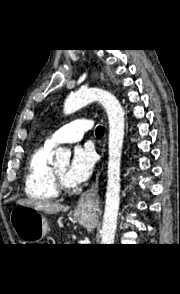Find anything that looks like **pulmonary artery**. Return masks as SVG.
<instances>
[{"label": "pulmonary artery", "instance_id": "1", "mask_svg": "<svg viewBox=\"0 0 180 294\" xmlns=\"http://www.w3.org/2000/svg\"><path fill=\"white\" fill-rule=\"evenodd\" d=\"M92 120L83 118L63 125L55 131L47 140L46 144L55 147L62 143L78 142L84 133L91 129Z\"/></svg>", "mask_w": 180, "mask_h": 294}]
</instances>
